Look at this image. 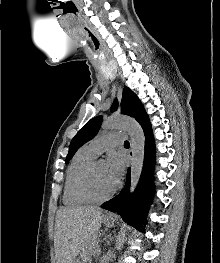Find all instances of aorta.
<instances>
[{"label": "aorta", "mask_w": 220, "mask_h": 263, "mask_svg": "<svg viewBox=\"0 0 220 263\" xmlns=\"http://www.w3.org/2000/svg\"><path fill=\"white\" fill-rule=\"evenodd\" d=\"M102 127L106 130L124 129L130 136L132 152L130 193L132 194L139 182L143 167L145 146L143 130L136 120L124 116L108 117Z\"/></svg>", "instance_id": "762f6f07"}]
</instances>
